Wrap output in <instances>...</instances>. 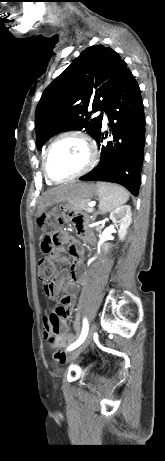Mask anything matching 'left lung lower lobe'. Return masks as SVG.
<instances>
[{
  "label": "left lung lower lobe",
  "mask_w": 165,
  "mask_h": 461,
  "mask_svg": "<svg viewBox=\"0 0 165 461\" xmlns=\"http://www.w3.org/2000/svg\"><path fill=\"white\" fill-rule=\"evenodd\" d=\"M105 112L113 141L102 146L100 163L80 180L118 183L137 196L144 157L145 118L140 88L129 69ZM103 139L100 131L95 140L100 144Z\"/></svg>",
  "instance_id": "0a47b994"
}]
</instances>
